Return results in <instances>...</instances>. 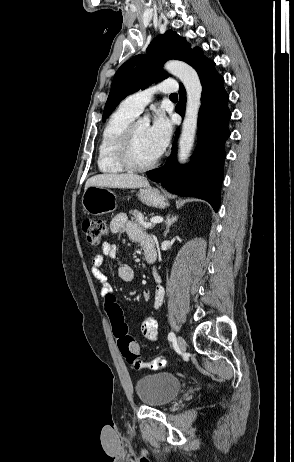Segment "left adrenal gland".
Returning a JSON list of instances; mask_svg holds the SVG:
<instances>
[{
  "label": "left adrenal gland",
  "instance_id": "obj_1",
  "mask_svg": "<svg viewBox=\"0 0 294 462\" xmlns=\"http://www.w3.org/2000/svg\"><path fill=\"white\" fill-rule=\"evenodd\" d=\"M178 217L177 216H170V214L166 217L165 224H166V229L164 232V236L166 237L167 234L169 233L170 226L177 221Z\"/></svg>",
  "mask_w": 294,
  "mask_h": 462
}]
</instances>
